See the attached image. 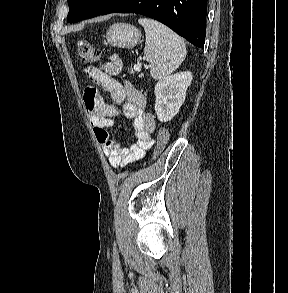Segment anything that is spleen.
I'll use <instances>...</instances> for the list:
<instances>
[{"label":"spleen","instance_id":"1","mask_svg":"<svg viewBox=\"0 0 288 293\" xmlns=\"http://www.w3.org/2000/svg\"><path fill=\"white\" fill-rule=\"evenodd\" d=\"M144 27L146 43L144 55L150 63L153 79H162L175 71L186 57V46L181 37L162 23L140 18Z\"/></svg>","mask_w":288,"mask_h":293}]
</instances>
